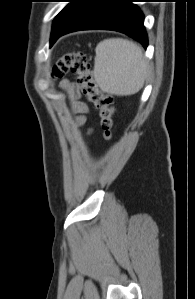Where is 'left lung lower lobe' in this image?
Wrapping results in <instances>:
<instances>
[{
	"mask_svg": "<svg viewBox=\"0 0 195 299\" xmlns=\"http://www.w3.org/2000/svg\"><path fill=\"white\" fill-rule=\"evenodd\" d=\"M136 0H88L78 16L67 26L51 36V46L62 35L78 31L104 29L122 32L139 41L144 48L148 45L143 26L144 16L132 4Z\"/></svg>",
	"mask_w": 195,
	"mask_h": 299,
	"instance_id": "0a47b994",
	"label": "left lung lower lobe"
}]
</instances>
